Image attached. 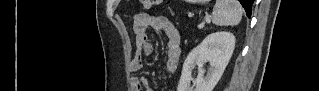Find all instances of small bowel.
Instances as JSON below:
<instances>
[{
	"mask_svg": "<svg viewBox=\"0 0 319 91\" xmlns=\"http://www.w3.org/2000/svg\"><path fill=\"white\" fill-rule=\"evenodd\" d=\"M149 29L161 32L166 36L165 70L168 74H173L177 70L181 54L180 34L169 18L148 13H139L133 20L136 51L130 63V71L138 72L142 67L143 57L153 54L154 47L147 33ZM131 84L133 91H152L145 77L134 76L131 78Z\"/></svg>",
	"mask_w": 319,
	"mask_h": 91,
	"instance_id": "c3829d8e",
	"label": "small bowel"
}]
</instances>
